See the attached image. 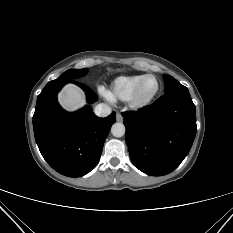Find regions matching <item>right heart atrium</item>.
I'll return each instance as SVG.
<instances>
[{
  "mask_svg": "<svg viewBox=\"0 0 233 233\" xmlns=\"http://www.w3.org/2000/svg\"><path fill=\"white\" fill-rule=\"evenodd\" d=\"M99 91L104 97L109 98V94L103 88H100Z\"/></svg>",
  "mask_w": 233,
  "mask_h": 233,
  "instance_id": "obj_1",
  "label": "right heart atrium"
}]
</instances>
